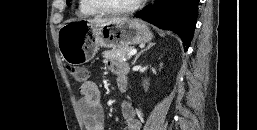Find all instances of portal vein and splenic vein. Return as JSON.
I'll return each instance as SVG.
<instances>
[{
    "mask_svg": "<svg viewBox=\"0 0 257 130\" xmlns=\"http://www.w3.org/2000/svg\"><path fill=\"white\" fill-rule=\"evenodd\" d=\"M137 53V50L133 49L128 53V56L135 55Z\"/></svg>",
    "mask_w": 257,
    "mask_h": 130,
    "instance_id": "portal-vein-and-splenic-vein-1",
    "label": "portal vein and splenic vein"
}]
</instances>
